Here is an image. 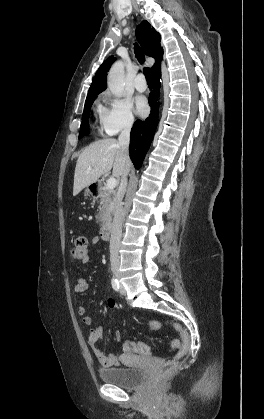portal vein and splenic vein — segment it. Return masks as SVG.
Returning a JSON list of instances; mask_svg holds the SVG:
<instances>
[{
	"instance_id": "obj_1",
	"label": "portal vein and splenic vein",
	"mask_w": 264,
	"mask_h": 419,
	"mask_svg": "<svg viewBox=\"0 0 264 419\" xmlns=\"http://www.w3.org/2000/svg\"><path fill=\"white\" fill-rule=\"evenodd\" d=\"M117 186V180L115 178H109L107 180V188L109 190H114V188Z\"/></svg>"
}]
</instances>
